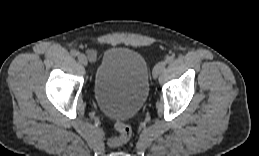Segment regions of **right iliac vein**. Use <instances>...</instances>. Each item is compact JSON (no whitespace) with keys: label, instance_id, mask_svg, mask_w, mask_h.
I'll return each mask as SVG.
<instances>
[{"label":"right iliac vein","instance_id":"obj_1","mask_svg":"<svg viewBox=\"0 0 259 156\" xmlns=\"http://www.w3.org/2000/svg\"><path fill=\"white\" fill-rule=\"evenodd\" d=\"M78 60L81 64H83L84 66H87L88 64L87 57L83 53L78 54Z\"/></svg>","mask_w":259,"mask_h":156}]
</instances>
